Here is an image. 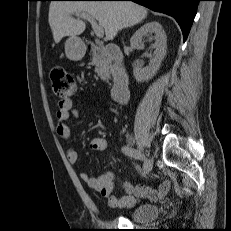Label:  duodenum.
<instances>
[{
	"label": "duodenum",
	"instance_id": "obj_1",
	"mask_svg": "<svg viewBox=\"0 0 231 231\" xmlns=\"http://www.w3.org/2000/svg\"><path fill=\"white\" fill-rule=\"evenodd\" d=\"M87 49L93 53H100L115 62L116 68L113 78L112 98L116 103H124L129 96V75L123 65L124 57L120 48L113 43L102 45L98 42H89Z\"/></svg>",
	"mask_w": 231,
	"mask_h": 231
}]
</instances>
